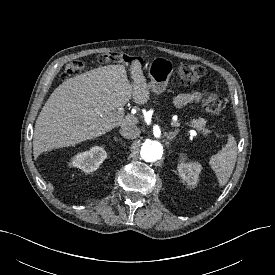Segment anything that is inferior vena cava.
<instances>
[{"mask_svg":"<svg viewBox=\"0 0 275 275\" xmlns=\"http://www.w3.org/2000/svg\"><path fill=\"white\" fill-rule=\"evenodd\" d=\"M140 129L135 125H122L120 134L127 139H135L140 135Z\"/></svg>","mask_w":275,"mask_h":275,"instance_id":"obj_1","label":"inferior vena cava"}]
</instances>
